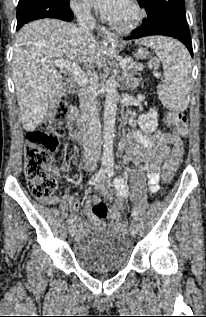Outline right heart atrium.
<instances>
[{
	"instance_id": "obj_1",
	"label": "right heart atrium",
	"mask_w": 206,
	"mask_h": 317,
	"mask_svg": "<svg viewBox=\"0 0 206 317\" xmlns=\"http://www.w3.org/2000/svg\"><path fill=\"white\" fill-rule=\"evenodd\" d=\"M72 8L79 17H87L91 13L89 5L82 0H72Z\"/></svg>"
}]
</instances>
